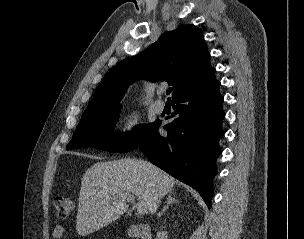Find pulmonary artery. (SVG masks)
I'll return each mask as SVG.
<instances>
[{
  "label": "pulmonary artery",
  "instance_id": "1",
  "mask_svg": "<svg viewBox=\"0 0 304 239\" xmlns=\"http://www.w3.org/2000/svg\"><path fill=\"white\" fill-rule=\"evenodd\" d=\"M162 93H163V90H160L159 94H162ZM154 108L157 112H162L165 108V102L160 99L156 100L154 103Z\"/></svg>",
  "mask_w": 304,
  "mask_h": 239
}]
</instances>
